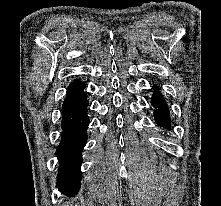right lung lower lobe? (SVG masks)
<instances>
[{
    "label": "right lung lower lobe",
    "instance_id": "right-lung-lower-lobe-1",
    "mask_svg": "<svg viewBox=\"0 0 221 206\" xmlns=\"http://www.w3.org/2000/svg\"><path fill=\"white\" fill-rule=\"evenodd\" d=\"M86 85L74 80L67 89L62 105V135L56 150L60 159L57 187L68 195H75L80 188L81 152L87 141L89 101L84 92Z\"/></svg>",
    "mask_w": 221,
    "mask_h": 206
}]
</instances>
